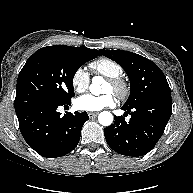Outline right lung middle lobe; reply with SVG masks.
Instances as JSON below:
<instances>
[{
	"label": "right lung middle lobe",
	"instance_id": "dd1d6c3e",
	"mask_svg": "<svg viewBox=\"0 0 193 193\" xmlns=\"http://www.w3.org/2000/svg\"><path fill=\"white\" fill-rule=\"evenodd\" d=\"M95 57L63 48H41L29 57L19 73L15 111L45 99L68 103L74 96L76 71Z\"/></svg>",
	"mask_w": 193,
	"mask_h": 193
}]
</instances>
